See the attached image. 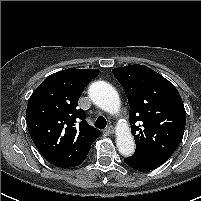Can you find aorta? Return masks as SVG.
Wrapping results in <instances>:
<instances>
[{
    "label": "aorta",
    "instance_id": "aorta-1",
    "mask_svg": "<svg viewBox=\"0 0 201 201\" xmlns=\"http://www.w3.org/2000/svg\"><path fill=\"white\" fill-rule=\"evenodd\" d=\"M92 102L102 110L117 114L120 110V99L115 88L105 81L93 82L88 90ZM116 145L123 156H131L135 151V142L130 128L122 124L116 134Z\"/></svg>",
    "mask_w": 201,
    "mask_h": 201
}]
</instances>
